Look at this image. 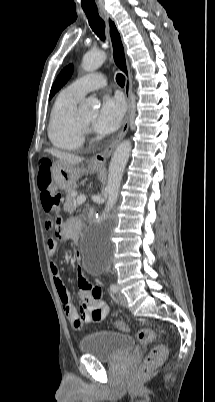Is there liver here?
<instances>
[{
    "label": "liver",
    "instance_id": "6515ba94",
    "mask_svg": "<svg viewBox=\"0 0 215 402\" xmlns=\"http://www.w3.org/2000/svg\"><path fill=\"white\" fill-rule=\"evenodd\" d=\"M45 151L52 154L53 156L57 157L60 161H63V162H66V163H69L72 165H77L83 161L82 157H79L77 155H73L70 153L58 151L55 149H46Z\"/></svg>",
    "mask_w": 215,
    "mask_h": 402
}]
</instances>
